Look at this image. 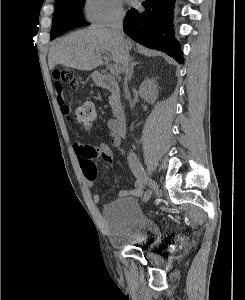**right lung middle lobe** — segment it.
<instances>
[{"instance_id": "1", "label": "right lung middle lobe", "mask_w": 245, "mask_h": 300, "mask_svg": "<svg viewBox=\"0 0 245 300\" xmlns=\"http://www.w3.org/2000/svg\"><path fill=\"white\" fill-rule=\"evenodd\" d=\"M85 0H57L55 3V11L52 19L51 39L59 35V24L61 22H79L89 25L82 17V8Z\"/></svg>"}]
</instances>
